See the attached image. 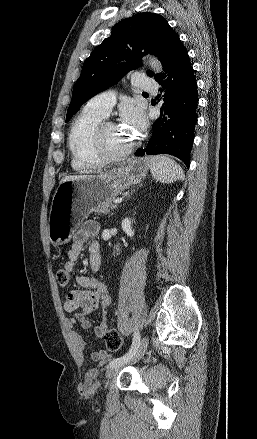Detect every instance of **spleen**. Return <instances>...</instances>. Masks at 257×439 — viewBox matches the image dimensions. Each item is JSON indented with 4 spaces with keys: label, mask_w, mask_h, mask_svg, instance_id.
I'll use <instances>...</instances> for the list:
<instances>
[{
    "label": "spleen",
    "mask_w": 257,
    "mask_h": 439,
    "mask_svg": "<svg viewBox=\"0 0 257 439\" xmlns=\"http://www.w3.org/2000/svg\"><path fill=\"white\" fill-rule=\"evenodd\" d=\"M150 171L152 176L161 183H173L177 180H184L185 177L181 166L164 155L150 159Z\"/></svg>",
    "instance_id": "1"
}]
</instances>
